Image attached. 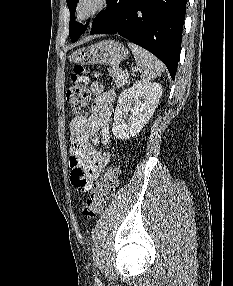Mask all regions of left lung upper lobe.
<instances>
[{
  "instance_id": "5c2ea615",
  "label": "left lung upper lobe",
  "mask_w": 233,
  "mask_h": 286,
  "mask_svg": "<svg viewBox=\"0 0 233 286\" xmlns=\"http://www.w3.org/2000/svg\"><path fill=\"white\" fill-rule=\"evenodd\" d=\"M66 2L70 11L69 36L72 42H76L85 32L86 26H82L75 21V10L78 0H66Z\"/></svg>"
}]
</instances>
